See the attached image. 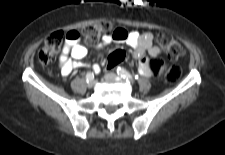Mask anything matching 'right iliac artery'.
Here are the masks:
<instances>
[{"label": "right iliac artery", "instance_id": "obj_1", "mask_svg": "<svg viewBox=\"0 0 225 155\" xmlns=\"http://www.w3.org/2000/svg\"><path fill=\"white\" fill-rule=\"evenodd\" d=\"M94 79V74H93V72H88L87 74H86V80H87V82H89L90 80H93Z\"/></svg>", "mask_w": 225, "mask_h": 155}]
</instances>
